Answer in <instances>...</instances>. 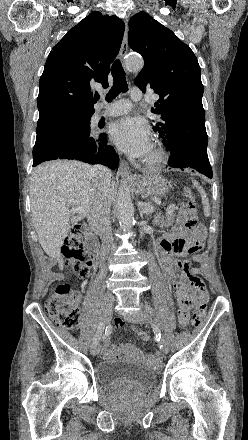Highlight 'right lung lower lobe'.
I'll return each instance as SVG.
<instances>
[{
    "instance_id": "right-lung-lower-lobe-1",
    "label": "right lung lower lobe",
    "mask_w": 248,
    "mask_h": 440,
    "mask_svg": "<svg viewBox=\"0 0 248 440\" xmlns=\"http://www.w3.org/2000/svg\"><path fill=\"white\" fill-rule=\"evenodd\" d=\"M91 116L69 118L37 133L33 166L55 159H76L115 169L119 157L112 146H107L106 135L90 137Z\"/></svg>"
}]
</instances>
